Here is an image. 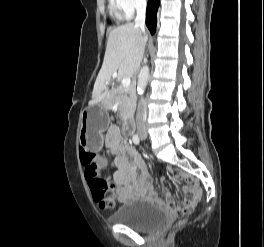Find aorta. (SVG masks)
<instances>
[{
  "label": "aorta",
  "mask_w": 264,
  "mask_h": 247,
  "mask_svg": "<svg viewBox=\"0 0 264 247\" xmlns=\"http://www.w3.org/2000/svg\"><path fill=\"white\" fill-rule=\"evenodd\" d=\"M149 77V67L147 65L143 66L140 70L137 83V92L142 95L145 91L147 81Z\"/></svg>",
  "instance_id": "762f6f07"
}]
</instances>
